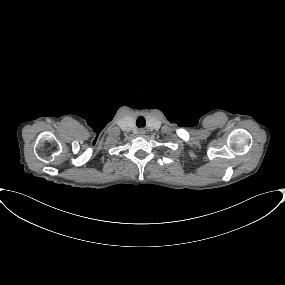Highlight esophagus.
<instances>
[{
  "instance_id": "1",
  "label": "esophagus",
  "mask_w": 285,
  "mask_h": 285,
  "mask_svg": "<svg viewBox=\"0 0 285 285\" xmlns=\"http://www.w3.org/2000/svg\"><path fill=\"white\" fill-rule=\"evenodd\" d=\"M138 135L139 136H144L145 135V129H143V128H140L139 130H138Z\"/></svg>"
}]
</instances>
